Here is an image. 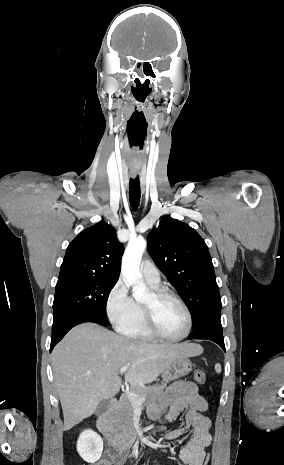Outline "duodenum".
<instances>
[{
	"label": "duodenum",
	"instance_id": "duodenum-1",
	"mask_svg": "<svg viewBox=\"0 0 284 465\" xmlns=\"http://www.w3.org/2000/svg\"><path fill=\"white\" fill-rule=\"evenodd\" d=\"M117 406V400L111 399L106 407L99 413L95 424L99 432L113 448L127 450V448L131 447L140 438V433L135 430L120 432L115 429L111 419Z\"/></svg>",
	"mask_w": 284,
	"mask_h": 465
}]
</instances>
